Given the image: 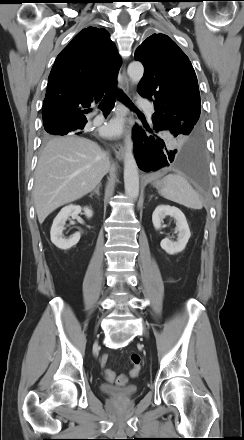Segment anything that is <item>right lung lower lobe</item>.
<instances>
[{
    "instance_id": "obj_1",
    "label": "right lung lower lobe",
    "mask_w": 244,
    "mask_h": 440,
    "mask_svg": "<svg viewBox=\"0 0 244 440\" xmlns=\"http://www.w3.org/2000/svg\"><path fill=\"white\" fill-rule=\"evenodd\" d=\"M86 122L81 123V124H78V123H65V124H62V125H63V129L65 130V132L69 133V132L76 131L77 134H80V133H82V130L84 129Z\"/></svg>"
}]
</instances>
